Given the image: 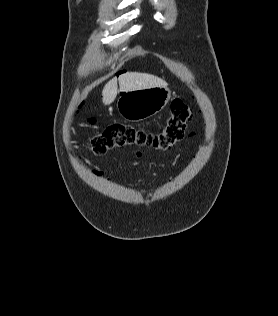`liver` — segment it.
<instances>
[{"label": "liver", "instance_id": "1", "mask_svg": "<svg viewBox=\"0 0 278 316\" xmlns=\"http://www.w3.org/2000/svg\"><path fill=\"white\" fill-rule=\"evenodd\" d=\"M119 90L121 92H129L140 89L167 86V83L150 74L138 73V72H127L122 74L118 78ZM118 93L117 78L111 79L103 88L102 101L105 105L111 104Z\"/></svg>", "mask_w": 278, "mask_h": 316}]
</instances>
